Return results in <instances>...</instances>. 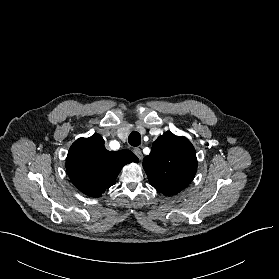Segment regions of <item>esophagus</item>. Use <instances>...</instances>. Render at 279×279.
Instances as JSON below:
<instances>
[{"instance_id":"34e87169","label":"esophagus","mask_w":279,"mask_h":279,"mask_svg":"<svg viewBox=\"0 0 279 279\" xmlns=\"http://www.w3.org/2000/svg\"><path fill=\"white\" fill-rule=\"evenodd\" d=\"M134 153L136 154V156H137L140 160L143 159V154H142V151H141L140 148H135V149H134Z\"/></svg>"}]
</instances>
